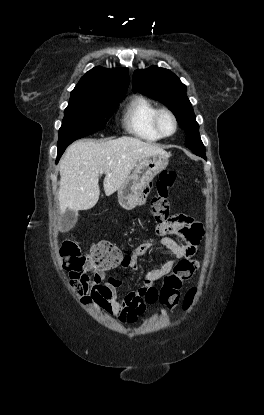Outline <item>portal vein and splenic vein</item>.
<instances>
[{"instance_id": "obj_1", "label": "portal vein and splenic vein", "mask_w": 264, "mask_h": 415, "mask_svg": "<svg viewBox=\"0 0 264 415\" xmlns=\"http://www.w3.org/2000/svg\"><path fill=\"white\" fill-rule=\"evenodd\" d=\"M100 173L102 174V173H104V171H101Z\"/></svg>"}]
</instances>
